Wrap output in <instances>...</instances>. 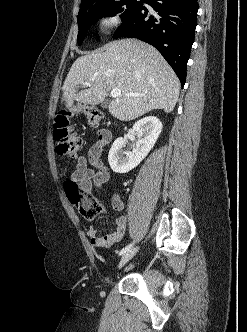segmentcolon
Wrapping results in <instances>:
<instances>
[{
    "label": "colon",
    "instance_id": "colon-1",
    "mask_svg": "<svg viewBox=\"0 0 247 332\" xmlns=\"http://www.w3.org/2000/svg\"><path fill=\"white\" fill-rule=\"evenodd\" d=\"M73 112L83 113L91 126H98L103 118L102 112L95 106L82 105L74 110L63 109L54 119L53 137L56 141V151L59 155L75 158L79 152L81 138L72 131L70 117ZM66 189L71 201L77 206L80 214L86 219H93L104 208L99 200L91 193H83L76 183L69 180L66 182Z\"/></svg>",
    "mask_w": 247,
    "mask_h": 332
}]
</instances>
